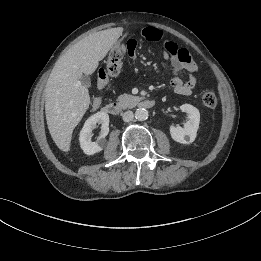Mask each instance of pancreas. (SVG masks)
I'll return each mask as SVG.
<instances>
[{
  "label": "pancreas",
  "instance_id": "obj_1",
  "mask_svg": "<svg viewBox=\"0 0 261 261\" xmlns=\"http://www.w3.org/2000/svg\"><path fill=\"white\" fill-rule=\"evenodd\" d=\"M137 98V96L122 94L118 97L117 101L122 108H127L130 107L132 103L137 100Z\"/></svg>",
  "mask_w": 261,
  "mask_h": 261
}]
</instances>
